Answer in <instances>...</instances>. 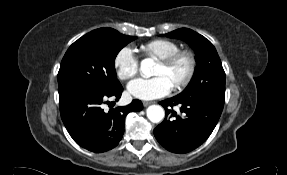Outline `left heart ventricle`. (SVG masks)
Listing matches in <instances>:
<instances>
[{
  "mask_svg": "<svg viewBox=\"0 0 287 175\" xmlns=\"http://www.w3.org/2000/svg\"><path fill=\"white\" fill-rule=\"evenodd\" d=\"M188 68L187 62L185 60H179L172 67H165L160 63H157L153 75H163L165 76L172 86L180 80L186 73Z\"/></svg>",
  "mask_w": 287,
  "mask_h": 175,
  "instance_id": "1",
  "label": "left heart ventricle"
}]
</instances>
